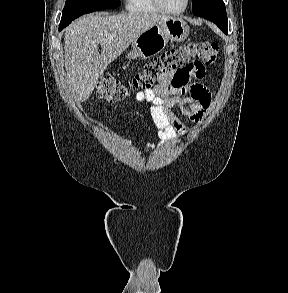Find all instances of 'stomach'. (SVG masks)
I'll list each match as a JSON object with an SVG mask.
<instances>
[{"instance_id":"stomach-1","label":"stomach","mask_w":288,"mask_h":293,"mask_svg":"<svg viewBox=\"0 0 288 293\" xmlns=\"http://www.w3.org/2000/svg\"><path fill=\"white\" fill-rule=\"evenodd\" d=\"M190 29L181 18L166 17L140 34L131 45L126 58L129 61L148 59L160 53L169 41L181 42L189 35Z\"/></svg>"}]
</instances>
